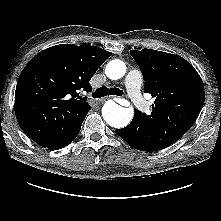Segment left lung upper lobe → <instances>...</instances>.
Segmentation results:
<instances>
[{"mask_svg":"<svg viewBox=\"0 0 221 221\" xmlns=\"http://www.w3.org/2000/svg\"><path fill=\"white\" fill-rule=\"evenodd\" d=\"M145 81L144 92L155 97L152 112L138 111L131 123L151 151L178 141L195 123L204 104L201 77L184 58L152 49L131 50Z\"/></svg>","mask_w":221,"mask_h":221,"instance_id":"1","label":"left lung upper lobe"}]
</instances>
